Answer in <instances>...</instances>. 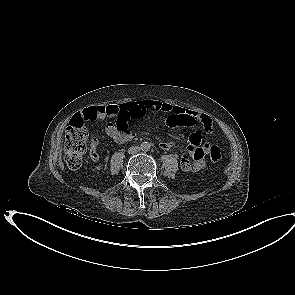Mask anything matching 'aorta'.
<instances>
[{
	"label": "aorta",
	"instance_id": "1",
	"mask_svg": "<svg viewBox=\"0 0 295 295\" xmlns=\"http://www.w3.org/2000/svg\"><path fill=\"white\" fill-rule=\"evenodd\" d=\"M150 147H151V145H150V143L149 142H143L142 144H141V150L142 151H149L150 150Z\"/></svg>",
	"mask_w": 295,
	"mask_h": 295
}]
</instances>
